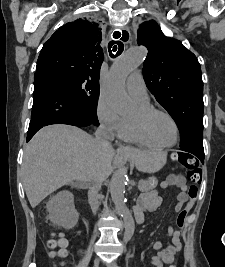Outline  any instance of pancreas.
<instances>
[{"mask_svg":"<svg viewBox=\"0 0 225 267\" xmlns=\"http://www.w3.org/2000/svg\"><path fill=\"white\" fill-rule=\"evenodd\" d=\"M158 180L155 177H150L148 180H142L138 188L141 192H149L156 188Z\"/></svg>","mask_w":225,"mask_h":267,"instance_id":"pancreas-1","label":"pancreas"}]
</instances>
